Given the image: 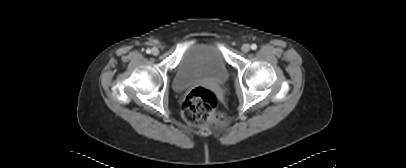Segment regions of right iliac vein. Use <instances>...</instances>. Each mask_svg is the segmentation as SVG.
I'll return each instance as SVG.
<instances>
[{"label":"right iliac vein","instance_id":"obj_1","mask_svg":"<svg viewBox=\"0 0 406 168\" xmlns=\"http://www.w3.org/2000/svg\"><path fill=\"white\" fill-rule=\"evenodd\" d=\"M151 53L155 56H157L159 54V49L157 47H153L151 50Z\"/></svg>","mask_w":406,"mask_h":168}]
</instances>
